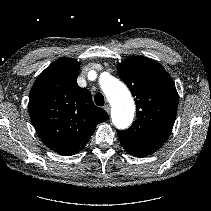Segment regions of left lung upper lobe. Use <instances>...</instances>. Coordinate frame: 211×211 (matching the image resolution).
Returning <instances> with one entry per match:
<instances>
[{
    "label": "left lung upper lobe",
    "instance_id": "5c2ea615",
    "mask_svg": "<svg viewBox=\"0 0 211 211\" xmlns=\"http://www.w3.org/2000/svg\"><path fill=\"white\" fill-rule=\"evenodd\" d=\"M136 103V120L118 136L142 143L164 144L171 134L178 107V93L165 69L147 57H130L118 67Z\"/></svg>",
    "mask_w": 211,
    "mask_h": 211
}]
</instances>
